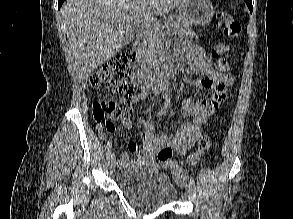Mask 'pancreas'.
<instances>
[{
    "label": "pancreas",
    "instance_id": "pancreas-1",
    "mask_svg": "<svg viewBox=\"0 0 293 219\" xmlns=\"http://www.w3.org/2000/svg\"><path fill=\"white\" fill-rule=\"evenodd\" d=\"M166 24L169 25V33L185 38L195 36L190 25L178 16L168 17ZM165 35L164 27L152 28L147 31L143 45V58L148 65H156L163 59Z\"/></svg>",
    "mask_w": 293,
    "mask_h": 219
}]
</instances>
